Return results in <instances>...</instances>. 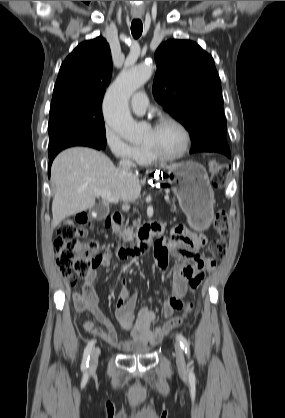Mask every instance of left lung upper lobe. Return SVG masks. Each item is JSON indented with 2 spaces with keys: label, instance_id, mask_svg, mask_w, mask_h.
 Returning <instances> with one entry per match:
<instances>
[{
  "label": "left lung upper lobe",
  "instance_id": "5c2ea615",
  "mask_svg": "<svg viewBox=\"0 0 285 418\" xmlns=\"http://www.w3.org/2000/svg\"><path fill=\"white\" fill-rule=\"evenodd\" d=\"M155 60L154 97L189 131L190 152L230 155L221 81L212 56L190 40H169L158 47Z\"/></svg>",
  "mask_w": 285,
  "mask_h": 418
}]
</instances>
